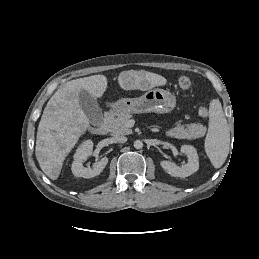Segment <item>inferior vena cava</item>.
<instances>
[{
    "mask_svg": "<svg viewBox=\"0 0 259 259\" xmlns=\"http://www.w3.org/2000/svg\"><path fill=\"white\" fill-rule=\"evenodd\" d=\"M113 141L115 143H125L127 141V137L122 135H116L113 137Z\"/></svg>",
    "mask_w": 259,
    "mask_h": 259,
    "instance_id": "obj_1",
    "label": "inferior vena cava"
}]
</instances>
